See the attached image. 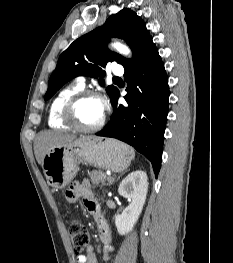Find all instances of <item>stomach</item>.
I'll return each mask as SVG.
<instances>
[{
	"mask_svg": "<svg viewBox=\"0 0 233 263\" xmlns=\"http://www.w3.org/2000/svg\"><path fill=\"white\" fill-rule=\"evenodd\" d=\"M133 159L134 151L118 140L80 136L49 149L43 157L42 168L48 184L63 189L76 176L80 162L122 172Z\"/></svg>",
	"mask_w": 233,
	"mask_h": 263,
	"instance_id": "0dacf381",
	"label": "stomach"
}]
</instances>
